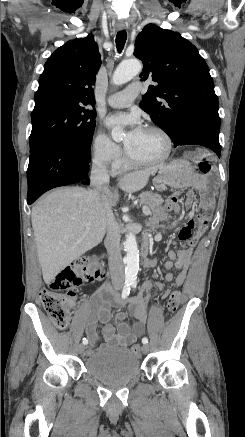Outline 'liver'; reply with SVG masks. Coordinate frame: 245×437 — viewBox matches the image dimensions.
I'll return each instance as SVG.
<instances>
[{
	"instance_id": "6515ba94",
	"label": "liver",
	"mask_w": 245,
	"mask_h": 437,
	"mask_svg": "<svg viewBox=\"0 0 245 437\" xmlns=\"http://www.w3.org/2000/svg\"><path fill=\"white\" fill-rule=\"evenodd\" d=\"M156 170L152 167L126 174L118 186L127 193L137 192ZM105 197L112 207L119 194L108 189ZM31 222L43 279L49 284L61 270L102 241L107 213L94 188H60L32 208Z\"/></svg>"
}]
</instances>
